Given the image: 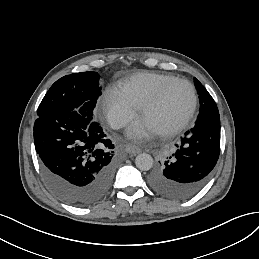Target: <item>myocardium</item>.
Instances as JSON below:
<instances>
[{"label": "myocardium", "mask_w": 259, "mask_h": 259, "mask_svg": "<svg viewBox=\"0 0 259 259\" xmlns=\"http://www.w3.org/2000/svg\"><path fill=\"white\" fill-rule=\"evenodd\" d=\"M178 81L184 82L190 88L191 94H192L191 104H190L189 108L187 109V111L170 128L157 133V135H159L161 137H169V136H173V135L177 134L179 131H181L184 128V126L193 117V115L197 109V105H198V95H197V91H196L194 84L191 81H189L188 79L183 78V77H178V76L171 77L168 80L161 83L158 86L156 92L150 98H148L141 106L140 116L142 114H144L145 112H147L149 109L155 107L161 101L166 90L173 83L178 82Z\"/></svg>", "instance_id": "1"}]
</instances>
